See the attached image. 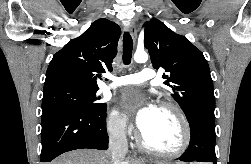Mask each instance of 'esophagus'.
<instances>
[{"mask_svg":"<svg viewBox=\"0 0 251 164\" xmlns=\"http://www.w3.org/2000/svg\"><path fill=\"white\" fill-rule=\"evenodd\" d=\"M128 31L130 32L132 38L135 40L136 39V36H137V28L135 26L134 23L130 24L129 27H128ZM137 161L140 163V164H144L145 160L143 157L141 156H138L136 157Z\"/></svg>","mask_w":251,"mask_h":164,"instance_id":"esophagus-1","label":"esophagus"}]
</instances>
